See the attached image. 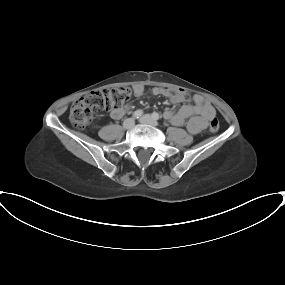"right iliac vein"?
Instances as JSON below:
<instances>
[{
	"mask_svg": "<svg viewBox=\"0 0 285 285\" xmlns=\"http://www.w3.org/2000/svg\"><path fill=\"white\" fill-rule=\"evenodd\" d=\"M134 125H135V120L133 118H129V119L125 120L123 123V127L125 129L133 128Z\"/></svg>",
	"mask_w": 285,
	"mask_h": 285,
	"instance_id": "obj_1",
	"label": "right iliac vein"
}]
</instances>
